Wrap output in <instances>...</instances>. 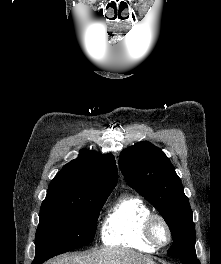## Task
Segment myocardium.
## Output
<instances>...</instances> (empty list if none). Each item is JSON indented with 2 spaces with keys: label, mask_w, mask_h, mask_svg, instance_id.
Returning a JSON list of instances; mask_svg holds the SVG:
<instances>
[{
  "label": "myocardium",
  "mask_w": 221,
  "mask_h": 264,
  "mask_svg": "<svg viewBox=\"0 0 221 264\" xmlns=\"http://www.w3.org/2000/svg\"><path fill=\"white\" fill-rule=\"evenodd\" d=\"M160 224L165 232H166V240L164 242H161L158 240L155 229L156 225ZM144 235L147 241L154 246L156 249L163 248L167 246L171 240H172V231L168 224V222L165 220V218L159 214L150 213L148 217L146 218L144 222Z\"/></svg>",
  "instance_id": "1"
}]
</instances>
